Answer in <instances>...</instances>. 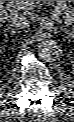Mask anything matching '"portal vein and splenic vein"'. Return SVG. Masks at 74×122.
<instances>
[{
	"label": "portal vein and splenic vein",
	"instance_id": "1",
	"mask_svg": "<svg viewBox=\"0 0 74 122\" xmlns=\"http://www.w3.org/2000/svg\"><path fill=\"white\" fill-rule=\"evenodd\" d=\"M28 4V1H10V2H7L6 4V9L9 10V11H13V10H23V9H26V5ZM46 9V8H44ZM59 11H53L52 12V17L54 20L58 21V22H61L59 20Z\"/></svg>",
	"mask_w": 74,
	"mask_h": 122
}]
</instances>
